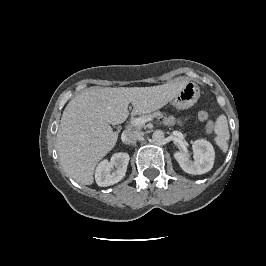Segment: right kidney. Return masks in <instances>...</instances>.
Here are the masks:
<instances>
[{"label":"right kidney","mask_w":266,"mask_h":266,"mask_svg":"<svg viewBox=\"0 0 266 266\" xmlns=\"http://www.w3.org/2000/svg\"><path fill=\"white\" fill-rule=\"evenodd\" d=\"M129 159L127 153L120 152L114 154L110 161L103 160L95 172L98 186L107 187L121 181L127 171Z\"/></svg>","instance_id":"ca27d5eb"}]
</instances>
